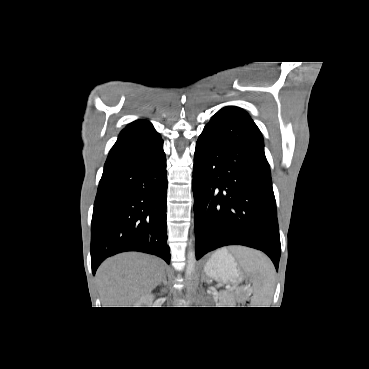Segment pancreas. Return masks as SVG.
<instances>
[{"instance_id":"cf45deb5","label":"pancreas","mask_w":369,"mask_h":369,"mask_svg":"<svg viewBox=\"0 0 369 369\" xmlns=\"http://www.w3.org/2000/svg\"><path fill=\"white\" fill-rule=\"evenodd\" d=\"M239 292H236L234 294H231L232 295V300L234 301L235 298H238L239 297Z\"/></svg>"}]
</instances>
